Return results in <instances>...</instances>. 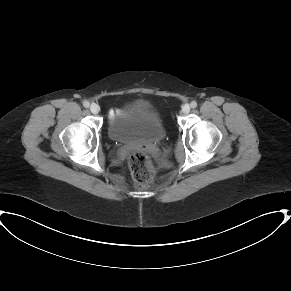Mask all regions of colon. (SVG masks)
Wrapping results in <instances>:
<instances>
[{"label":"colon","instance_id":"5ec220e1","mask_svg":"<svg viewBox=\"0 0 291 291\" xmlns=\"http://www.w3.org/2000/svg\"><path fill=\"white\" fill-rule=\"evenodd\" d=\"M128 164L136 187H147L153 182L154 169L149 156L145 152L135 151L131 153L128 157Z\"/></svg>","mask_w":291,"mask_h":291}]
</instances>
